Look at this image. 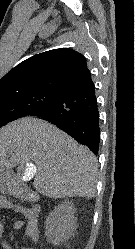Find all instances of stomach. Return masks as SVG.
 <instances>
[{"label":"stomach","mask_w":135,"mask_h":249,"mask_svg":"<svg viewBox=\"0 0 135 249\" xmlns=\"http://www.w3.org/2000/svg\"><path fill=\"white\" fill-rule=\"evenodd\" d=\"M10 171L0 168V184L10 181Z\"/></svg>","instance_id":"obj_1"}]
</instances>
